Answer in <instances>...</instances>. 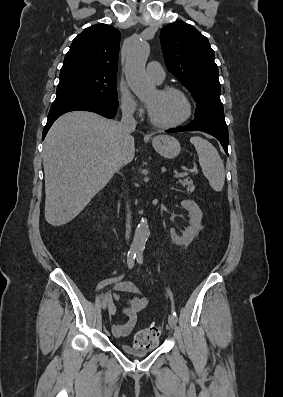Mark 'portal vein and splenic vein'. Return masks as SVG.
Here are the masks:
<instances>
[{
	"instance_id": "portal-vein-and-splenic-vein-1",
	"label": "portal vein and splenic vein",
	"mask_w": 283,
	"mask_h": 397,
	"mask_svg": "<svg viewBox=\"0 0 283 397\" xmlns=\"http://www.w3.org/2000/svg\"><path fill=\"white\" fill-rule=\"evenodd\" d=\"M188 174H189V172H180V173H175L174 175H173V177L174 178H182V177H186V176H188Z\"/></svg>"
}]
</instances>
